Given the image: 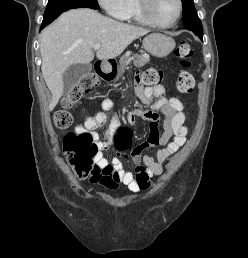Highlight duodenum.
<instances>
[{"label": "duodenum", "mask_w": 248, "mask_h": 258, "mask_svg": "<svg viewBox=\"0 0 248 258\" xmlns=\"http://www.w3.org/2000/svg\"><path fill=\"white\" fill-rule=\"evenodd\" d=\"M95 72L99 78L104 80H110L113 76L110 67L102 61L95 63Z\"/></svg>", "instance_id": "duodenum-1"}]
</instances>
